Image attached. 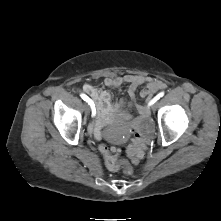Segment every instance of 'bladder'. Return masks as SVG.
Returning <instances> with one entry per match:
<instances>
[{
  "instance_id": "obj_1",
  "label": "bladder",
  "mask_w": 221,
  "mask_h": 221,
  "mask_svg": "<svg viewBox=\"0 0 221 221\" xmlns=\"http://www.w3.org/2000/svg\"><path fill=\"white\" fill-rule=\"evenodd\" d=\"M107 138L109 139L110 142L114 144H120L123 142V138L120 134H116L113 131H109L107 134Z\"/></svg>"
}]
</instances>
